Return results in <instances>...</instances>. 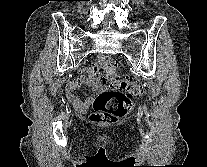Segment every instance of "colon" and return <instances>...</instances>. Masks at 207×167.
<instances>
[{
  "mask_svg": "<svg viewBox=\"0 0 207 167\" xmlns=\"http://www.w3.org/2000/svg\"><path fill=\"white\" fill-rule=\"evenodd\" d=\"M117 62L108 59L95 67L97 76L102 77L105 88L93 102L91 120L98 123H115L127 117L132 111V99L143 94L144 88L138 82L116 74Z\"/></svg>",
  "mask_w": 207,
  "mask_h": 167,
  "instance_id": "5ec220e1",
  "label": "colon"
}]
</instances>
